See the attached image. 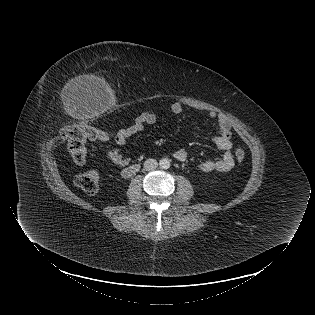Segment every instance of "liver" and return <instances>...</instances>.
Listing matches in <instances>:
<instances>
[{
    "label": "liver",
    "instance_id": "1",
    "mask_svg": "<svg viewBox=\"0 0 315 315\" xmlns=\"http://www.w3.org/2000/svg\"><path fill=\"white\" fill-rule=\"evenodd\" d=\"M83 83H93L105 85V80L93 75H80L70 80L65 89L72 90Z\"/></svg>",
    "mask_w": 315,
    "mask_h": 315
}]
</instances>
